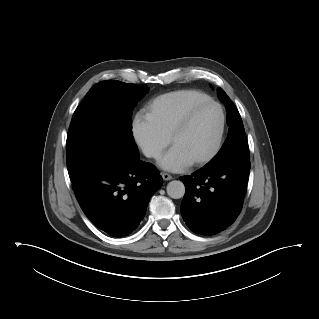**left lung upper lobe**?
<instances>
[{"label":"left lung upper lobe","mask_w":319,"mask_h":319,"mask_svg":"<svg viewBox=\"0 0 319 319\" xmlns=\"http://www.w3.org/2000/svg\"><path fill=\"white\" fill-rule=\"evenodd\" d=\"M219 99L224 103L227 109V124L229 126L228 137L218 154L209 164L221 163L225 159L233 157L250 158L248 141L245 135L241 116L230 100L227 94L220 88H217Z\"/></svg>","instance_id":"left-lung-upper-lobe-1"}]
</instances>
